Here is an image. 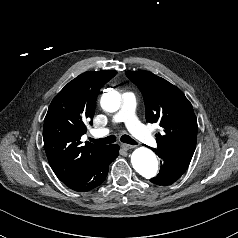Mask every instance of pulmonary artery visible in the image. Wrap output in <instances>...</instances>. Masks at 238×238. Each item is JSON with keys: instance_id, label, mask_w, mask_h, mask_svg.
<instances>
[{"instance_id": "obj_1", "label": "pulmonary artery", "mask_w": 238, "mask_h": 238, "mask_svg": "<svg viewBox=\"0 0 238 238\" xmlns=\"http://www.w3.org/2000/svg\"><path fill=\"white\" fill-rule=\"evenodd\" d=\"M136 97L132 92H124L122 94V107L120 111L114 115L113 123L124 122L128 130L140 141L155 145V139L146 127L138 120L136 114ZM109 133V128L97 129L93 131L96 137H102Z\"/></svg>"}]
</instances>
